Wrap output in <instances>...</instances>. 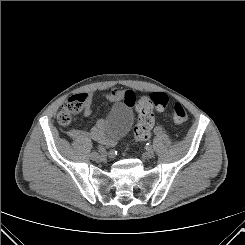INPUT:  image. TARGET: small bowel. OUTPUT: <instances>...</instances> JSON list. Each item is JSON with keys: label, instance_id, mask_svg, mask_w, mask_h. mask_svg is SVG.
Here are the masks:
<instances>
[{"label": "small bowel", "instance_id": "c3829d8e", "mask_svg": "<svg viewBox=\"0 0 245 245\" xmlns=\"http://www.w3.org/2000/svg\"><path fill=\"white\" fill-rule=\"evenodd\" d=\"M102 97L110 102L123 101L128 108H133L136 103V96L131 90H122L118 88L112 89L110 92L105 93ZM92 97L89 99L87 106L85 108V114L89 115L91 113L90 102ZM67 134L74 139L81 137H89L92 140L100 143L112 142L107 138L103 131V124L101 121H98L95 126L90 130L83 131L78 129H69Z\"/></svg>", "mask_w": 245, "mask_h": 245}]
</instances>
